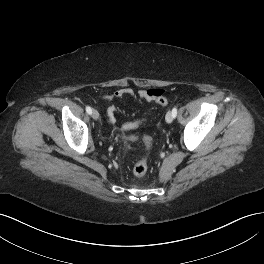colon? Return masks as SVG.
I'll list each match as a JSON object with an SVG mask.
<instances>
[{
	"label": "colon",
	"instance_id": "1",
	"mask_svg": "<svg viewBox=\"0 0 264 264\" xmlns=\"http://www.w3.org/2000/svg\"><path fill=\"white\" fill-rule=\"evenodd\" d=\"M155 103L159 106H165L167 104V99L161 96L155 101ZM140 124H141V121L128 122L124 124L123 130L125 132H128L130 130L138 128ZM129 138L133 140L136 139L135 136H129ZM143 141H144L147 154L144 157H142L139 161H137L135 165L133 166L132 172H133V175L136 177L144 176L148 169V153L150 152L151 147H152V139L151 137L147 136V137H144Z\"/></svg>",
	"mask_w": 264,
	"mask_h": 264
}]
</instances>
